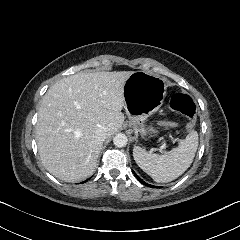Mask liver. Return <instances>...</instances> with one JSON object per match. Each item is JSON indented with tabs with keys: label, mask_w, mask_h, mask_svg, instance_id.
Masks as SVG:
<instances>
[{
	"label": "liver",
	"mask_w": 240,
	"mask_h": 240,
	"mask_svg": "<svg viewBox=\"0 0 240 240\" xmlns=\"http://www.w3.org/2000/svg\"><path fill=\"white\" fill-rule=\"evenodd\" d=\"M133 71L94 72L64 77L43 96L36 124L37 147L44 167L65 182L91 176L103 141L123 125L124 86Z\"/></svg>",
	"instance_id": "1"
}]
</instances>
